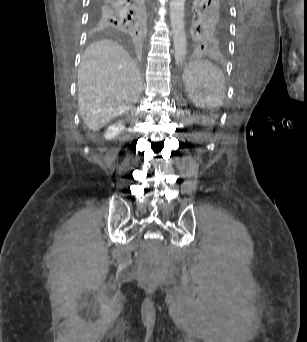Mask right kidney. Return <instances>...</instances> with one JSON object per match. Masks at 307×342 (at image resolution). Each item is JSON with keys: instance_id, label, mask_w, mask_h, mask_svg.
<instances>
[{"instance_id": "ca27d5eb", "label": "right kidney", "mask_w": 307, "mask_h": 342, "mask_svg": "<svg viewBox=\"0 0 307 342\" xmlns=\"http://www.w3.org/2000/svg\"><path fill=\"white\" fill-rule=\"evenodd\" d=\"M125 126L123 122H118V124H113V126H109L108 130H106L104 134V138L106 140H112V138H115V136H118L120 132H123Z\"/></svg>"}]
</instances>
